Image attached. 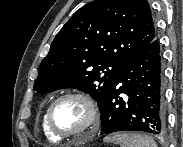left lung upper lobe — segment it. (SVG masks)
Wrapping results in <instances>:
<instances>
[{
  "label": "left lung upper lobe",
  "mask_w": 183,
  "mask_h": 147,
  "mask_svg": "<svg viewBox=\"0 0 183 147\" xmlns=\"http://www.w3.org/2000/svg\"><path fill=\"white\" fill-rule=\"evenodd\" d=\"M155 38L147 0H94L58 32L34 90L45 94L77 88L101 108L125 64Z\"/></svg>",
  "instance_id": "left-lung-upper-lobe-1"
}]
</instances>
